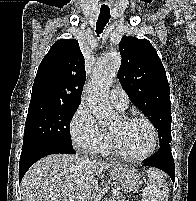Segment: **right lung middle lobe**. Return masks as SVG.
I'll list each match as a JSON object with an SVG mask.
<instances>
[{"label": "right lung middle lobe", "mask_w": 196, "mask_h": 201, "mask_svg": "<svg viewBox=\"0 0 196 201\" xmlns=\"http://www.w3.org/2000/svg\"><path fill=\"white\" fill-rule=\"evenodd\" d=\"M78 107L79 104L30 102L23 147L37 142H52L71 147L69 123Z\"/></svg>", "instance_id": "right-lung-middle-lobe-1"}]
</instances>
